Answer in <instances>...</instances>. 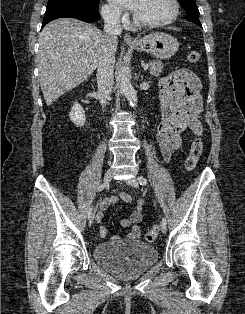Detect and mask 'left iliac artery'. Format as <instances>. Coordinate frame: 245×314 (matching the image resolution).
Here are the masks:
<instances>
[{
    "label": "left iliac artery",
    "mask_w": 245,
    "mask_h": 314,
    "mask_svg": "<svg viewBox=\"0 0 245 314\" xmlns=\"http://www.w3.org/2000/svg\"><path fill=\"white\" fill-rule=\"evenodd\" d=\"M138 181H139L140 185H142V186H144V185L147 184V180H146V178L143 177V176H139V177H138ZM162 222H163L164 224H166V223H167L166 218L163 217V218H162Z\"/></svg>",
    "instance_id": "obj_1"
}]
</instances>
